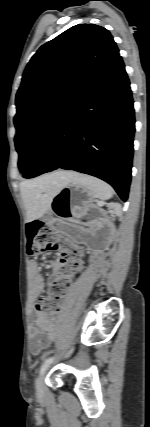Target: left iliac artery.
Returning a JSON list of instances; mask_svg holds the SVG:
<instances>
[{"label": "left iliac artery", "mask_w": 150, "mask_h": 427, "mask_svg": "<svg viewBox=\"0 0 150 427\" xmlns=\"http://www.w3.org/2000/svg\"><path fill=\"white\" fill-rule=\"evenodd\" d=\"M54 357H50L44 361L40 368V374L44 373V371L48 368V366L53 362Z\"/></svg>", "instance_id": "obj_1"}]
</instances>
